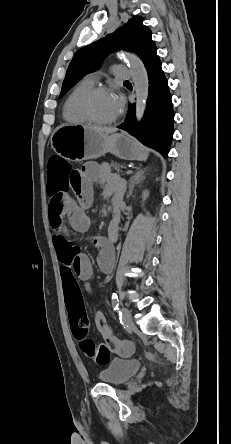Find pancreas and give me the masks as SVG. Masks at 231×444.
<instances>
[{"mask_svg":"<svg viewBox=\"0 0 231 444\" xmlns=\"http://www.w3.org/2000/svg\"><path fill=\"white\" fill-rule=\"evenodd\" d=\"M111 167L115 170H119L120 168H124L123 164L117 163V162H111Z\"/></svg>","mask_w":231,"mask_h":444,"instance_id":"cf45deb5","label":"pancreas"}]
</instances>
